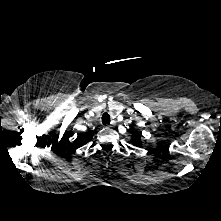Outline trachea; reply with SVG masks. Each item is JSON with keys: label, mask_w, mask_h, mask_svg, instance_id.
<instances>
[{"label": "trachea", "mask_w": 221, "mask_h": 221, "mask_svg": "<svg viewBox=\"0 0 221 221\" xmlns=\"http://www.w3.org/2000/svg\"><path fill=\"white\" fill-rule=\"evenodd\" d=\"M102 123H103V125H109L110 124V116L106 112L102 115Z\"/></svg>", "instance_id": "1"}]
</instances>
